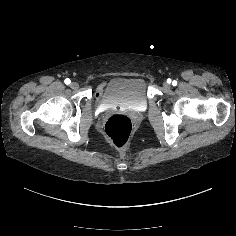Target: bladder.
Masks as SVG:
<instances>
[{"instance_id": "bladder-1", "label": "bladder", "mask_w": 236, "mask_h": 236, "mask_svg": "<svg viewBox=\"0 0 236 236\" xmlns=\"http://www.w3.org/2000/svg\"><path fill=\"white\" fill-rule=\"evenodd\" d=\"M102 100L109 105L138 106L146 103V81L140 77H115L106 82Z\"/></svg>"}]
</instances>
